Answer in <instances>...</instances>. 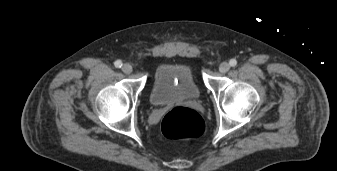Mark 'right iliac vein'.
<instances>
[{"label":"right iliac vein","mask_w":337,"mask_h":171,"mask_svg":"<svg viewBox=\"0 0 337 171\" xmlns=\"http://www.w3.org/2000/svg\"><path fill=\"white\" fill-rule=\"evenodd\" d=\"M122 71L125 73V74H130L132 72V66L129 64V63H125L123 66H122Z\"/></svg>","instance_id":"63e3f726"}]
</instances>
